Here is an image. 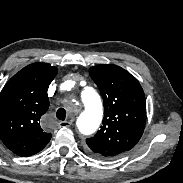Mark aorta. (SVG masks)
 Here are the masks:
<instances>
[{"label": "aorta", "instance_id": "aorta-1", "mask_svg": "<svg viewBox=\"0 0 183 183\" xmlns=\"http://www.w3.org/2000/svg\"><path fill=\"white\" fill-rule=\"evenodd\" d=\"M84 109L77 118V127L83 135L94 133L103 117V106L99 94L93 88H85L81 92Z\"/></svg>", "mask_w": 183, "mask_h": 183}]
</instances>
